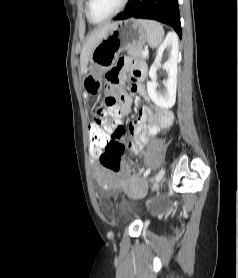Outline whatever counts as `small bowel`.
Wrapping results in <instances>:
<instances>
[{"mask_svg": "<svg viewBox=\"0 0 238 278\" xmlns=\"http://www.w3.org/2000/svg\"><path fill=\"white\" fill-rule=\"evenodd\" d=\"M124 67L131 71L132 92L144 97L145 99L147 98L146 89L142 84V80L145 78L147 73L146 64L129 60L128 55H117V59H114V64H111V67H107L105 76L106 81H110V85H115V89L118 92L115 94V97L118 98V101L120 102L118 112L119 117L128 115L132 104L131 96L122 90L125 89V84H123L125 76H122ZM107 97L111 98L112 94L108 93ZM172 120L173 114L171 111L163 108H150L148 106H144L140 109L137 120L134 123H131L128 127H123L120 121H118L119 127L112 128L113 137H109L108 141H110V144H119L122 142V139H119L118 137H125V132L129 131L133 138H124L123 142L125 144L129 143L128 149L130 153L140 154L148 142L149 137L156 133L159 129L168 126ZM93 124H104V121L102 117L97 114ZM105 170L106 172L101 177V182L104 186L119 188L125 186L129 182L116 181L112 175L114 172L108 169Z\"/></svg>", "mask_w": 238, "mask_h": 278, "instance_id": "small-bowel-1", "label": "small bowel"}]
</instances>
